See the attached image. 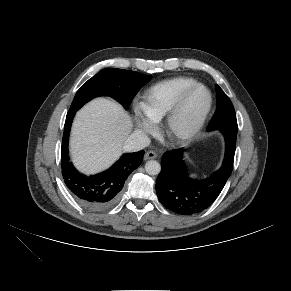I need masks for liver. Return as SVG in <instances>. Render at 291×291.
<instances>
[{
  "label": "liver",
  "mask_w": 291,
  "mask_h": 291,
  "mask_svg": "<svg viewBox=\"0 0 291 291\" xmlns=\"http://www.w3.org/2000/svg\"><path fill=\"white\" fill-rule=\"evenodd\" d=\"M133 127L131 117L120 104L96 98L76 114L70 151L74 165L86 174L108 168L121 155Z\"/></svg>",
  "instance_id": "6515ba94"
}]
</instances>
